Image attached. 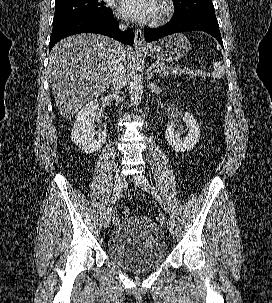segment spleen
Returning a JSON list of instances; mask_svg holds the SVG:
<instances>
[{
	"label": "spleen",
	"instance_id": "3e777b00",
	"mask_svg": "<svg viewBox=\"0 0 272 303\" xmlns=\"http://www.w3.org/2000/svg\"><path fill=\"white\" fill-rule=\"evenodd\" d=\"M224 66L222 65L221 62H215L213 63V72H212V77L213 78H221L224 76Z\"/></svg>",
	"mask_w": 272,
	"mask_h": 303
}]
</instances>
